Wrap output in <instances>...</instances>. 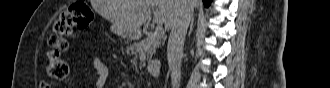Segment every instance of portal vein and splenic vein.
I'll return each mask as SVG.
<instances>
[{
  "mask_svg": "<svg viewBox=\"0 0 330 88\" xmlns=\"http://www.w3.org/2000/svg\"><path fill=\"white\" fill-rule=\"evenodd\" d=\"M154 36L158 39H160L164 36V30H163L162 25L157 24V26L155 28Z\"/></svg>",
  "mask_w": 330,
  "mask_h": 88,
  "instance_id": "18ae733b",
  "label": "portal vein and splenic vein"
}]
</instances>
